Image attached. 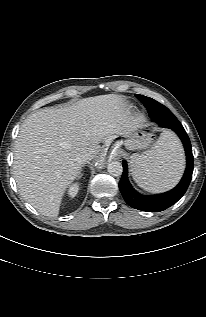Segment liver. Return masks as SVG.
Returning <instances> with one entry per match:
<instances>
[{
    "mask_svg": "<svg viewBox=\"0 0 206 317\" xmlns=\"http://www.w3.org/2000/svg\"><path fill=\"white\" fill-rule=\"evenodd\" d=\"M123 98L116 94L81 99L64 107H48L31 114L15 142L13 169L22 197L40 213L59 214L67 187L81 168L82 152H100V143L126 136L142 126Z\"/></svg>",
    "mask_w": 206,
    "mask_h": 317,
    "instance_id": "liver-1",
    "label": "liver"
}]
</instances>
